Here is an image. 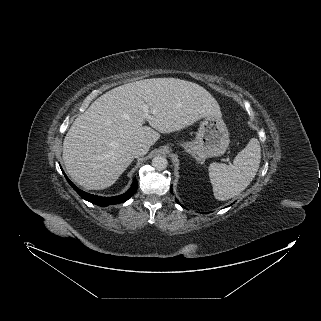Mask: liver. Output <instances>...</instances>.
Returning <instances> with one entry per match:
<instances>
[{"instance_id": "obj_1", "label": "liver", "mask_w": 321, "mask_h": 321, "mask_svg": "<svg viewBox=\"0 0 321 321\" xmlns=\"http://www.w3.org/2000/svg\"><path fill=\"white\" fill-rule=\"evenodd\" d=\"M207 115L222 116L215 98L196 83L151 78L121 85L75 119L63 142L64 165L84 188H108L132 163L134 145L150 147L160 133L183 129ZM146 120L151 127L143 125Z\"/></svg>"}]
</instances>
